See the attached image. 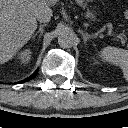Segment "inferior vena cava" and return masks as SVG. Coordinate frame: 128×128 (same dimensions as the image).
<instances>
[{
  "label": "inferior vena cava",
  "instance_id": "602c4592",
  "mask_svg": "<svg viewBox=\"0 0 128 128\" xmlns=\"http://www.w3.org/2000/svg\"><path fill=\"white\" fill-rule=\"evenodd\" d=\"M51 17H52V11L51 10H45V11L40 12L37 15V20L40 23H47L51 20Z\"/></svg>",
  "mask_w": 128,
  "mask_h": 128
}]
</instances>
